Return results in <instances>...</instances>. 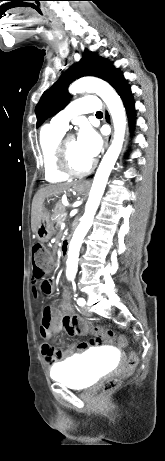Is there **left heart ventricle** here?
I'll return each mask as SVG.
<instances>
[{
    "label": "left heart ventricle",
    "mask_w": 165,
    "mask_h": 461,
    "mask_svg": "<svg viewBox=\"0 0 165 461\" xmlns=\"http://www.w3.org/2000/svg\"><path fill=\"white\" fill-rule=\"evenodd\" d=\"M69 161L76 169H84L88 166L91 158L86 156L80 149L77 140L71 138L67 143Z\"/></svg>",
    "instance_id": "left-heart-ventricle-1"
}]
</instances>
